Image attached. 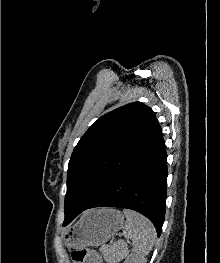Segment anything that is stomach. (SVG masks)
<instances>
[{
  "label": "stomach",
  "mask_w": 220,
  "mask_h": 263,
  "mask_svg": "<svg viewBox=\"0 0 220 263\" xmlns=\"http://www.w3.org/2000/svg\"><path fill=\"white\" fill-rule=\"evenodd\" d=\"M124 226V217L116 209H93L85 212L64 235L68 249L105 244Z\"/></svg>",
  "instance_id": "stomach-1"
}]
</instances>
